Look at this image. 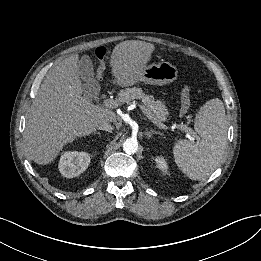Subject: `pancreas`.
I'll return each mask as SVG.
<instances>
[{
  "label": "pancreas",
  "mask_w": 261,
  "mask_h": 261,
  "mask_svg": "<svg viewBox=\"0 0 261 261\" xmlns=\"http://www.w3.org/2000/svg\"><path fill=\"white\" fill-rule=\"evenodd\" d=\"M138 99L145 104V107L157 123H162L167 120L169 113L166 106L160 100H155L151 96L146 95L141 88L132 87L121 90L117 97L120 104H132Z\"/></svg>",
  "instance_id": "1"
}]
</instances>
